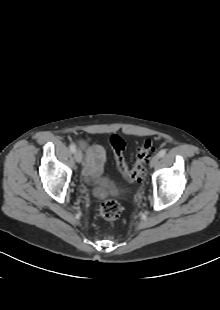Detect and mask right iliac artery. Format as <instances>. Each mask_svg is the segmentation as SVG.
I'll return each mask as SVG.
<instances>
[{"mask_svg":"<svg viewBox=\"0 0 220 310\" xmlns=\"http://www.w3.org/2000/svg\"><path fill=\"white\" fill-rule=\"evenodd\" d=\"M69 148L72 153L76 151V146L74 144H70Z\"/></svg>","mask_w":220,"mask_h":310,"instance_id":"1","label":"right iliac artery"}]
</instances>
